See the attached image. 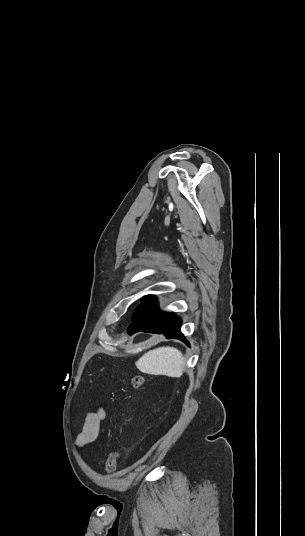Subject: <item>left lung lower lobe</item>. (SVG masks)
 Masks as SVG:
<instances>
[{"mask_svg": "<svg viewBox=\"0 0 305 536\" xmlns=\"http://www.w3.org/2000/svg\"><path fill=\"white\" fill-rule=\"evenodd\" d=\"M132 321L128 327L130 335L136 332L163 333L167 338L179 339L189 344L180 331L181 319L172 312L161 311L154 296L137 307Z\"/></svg>", "mask_w": 305, "mask_h": 536, "instance_id": "left-lung-lower-lobe-1", "label": "left lung lower lobe"}]
</instances>
